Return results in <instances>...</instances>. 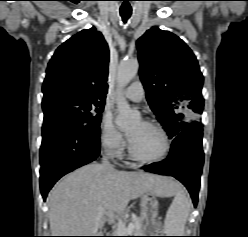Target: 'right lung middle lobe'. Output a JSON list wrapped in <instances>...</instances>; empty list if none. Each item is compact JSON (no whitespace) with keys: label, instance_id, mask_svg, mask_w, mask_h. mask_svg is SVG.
Wrapping results in <instances>:
<instances>
[{"label":"right lung middle lobe","instance_id":"obj_1","mask_svg":"<svg viewBox=\"0 0 248 237\" xmlns=\"http://www.w3.org/2000/svg\"><path fill=\"white\" fill-rule=\"evenodd\" d=\"M44 123H64L79 127H99L104 101L58 97L42 102Z\"/></svg>","mask_w":248,"mask_h":237}]
</instances>
